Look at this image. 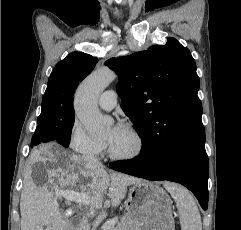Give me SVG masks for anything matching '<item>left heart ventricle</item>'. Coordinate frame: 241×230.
<instances>
[{"label":"left heart ventricle","instance_id":"b2bd125f","mask_svg":"<svg viewBox=\"0 0 241 230\" xmlns=\"http://www.w3.org/2000/svg\"><path fill=\"white\" fill-rule=\"evenodd\" d=\"M104 141L108 144L111 151L117 155L130 154L136 147L133 135L125 127H122L117 134H114V127H111L106 132Z\"/></svg>","mask_w":241,"mask_h":230}]
</instances>
